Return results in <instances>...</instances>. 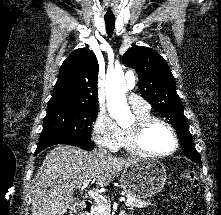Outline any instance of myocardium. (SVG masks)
<instances>
[{
	"mask_svg": "<svg viewBox=\"0 0 221 215\" xmlns=\"http://www.w3.org/2000/svg\"><path fill=\"white\" fill-rule=\"evenodd\" d=\"M157 123L162 124L165 127H167L173 137L174 147L169 152L155 153V152L148 150L144 145L143 139H144L145 133L148 131V129L151 126ZM128 135H129V143H130L131 149L137 154L148 156V157H153V158L168 157L174 154L179 147V138L174 127L166 120L159 118V117H155V116H150L144 119H137L134 125L130 129H128Z\"/></svg>",
	"mask_w": 221,
	"mask_h": 215,
	"instance_id": "f54148a6",
	"label": "myocardium"
}]
</instances>
